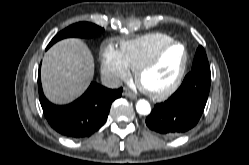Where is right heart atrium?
Here are the masks:
<instances>
[{
  "label": "right heart atrium",
  "instance_id": "d8ad5b80",
  "mask_svg": "<svg viewBox=\"0 0 249 165\" xmlns=\"http://www.w3.org/2000/svg\"><path fill=\"white\" fill-rule=\"evenodd\" d=\"M101 70L112 83L127 80L131 74L130 68L123 60L120 51L111 46H107L102 53Z\"/></svg>",
  "mask_w": 249,
  "mask_h": 165
}]
</instances>
